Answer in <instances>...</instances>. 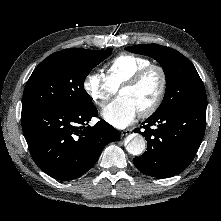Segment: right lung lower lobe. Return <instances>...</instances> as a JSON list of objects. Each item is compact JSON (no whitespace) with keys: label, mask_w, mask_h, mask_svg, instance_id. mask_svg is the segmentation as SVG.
<instances>
[{"label":"right lung lower lobe","mask_w":221,"mask_h":221,"mask_svg":"<svg viewBox=\"0 0 221 221\" xmlns=\"http://www.w3.org/2000/svg\"><path fill=\"white\" fill-rule=\"evenodd\" d=\"M95 105L79 110L22 108V129L37 166L59 180H72L86 173L103 148L120 134L104 120L88 126L97 116Z\"/></svg>","instance_id":"1"}]
</instances>
